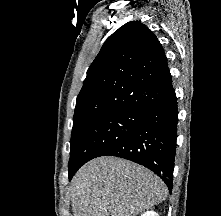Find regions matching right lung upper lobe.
I'll use <instances>...</instances> for the list:
<instances>
[{"mask_svg":"<svg viewBox=\"0 0 221 216\" xmlns=\"http://www.w3.org/2000/svg\"><path fill=\"white\" fill-rule=\"evenodd\" d=\"M171 87L157 37L141 22H128L105 41L90 65L73 125L111 111H146Z\"/></svg>","mask_w":221,"mask_h":216,"instance_id":"cb5924a9","label":"right lung upper lobe"}]
</instances>
